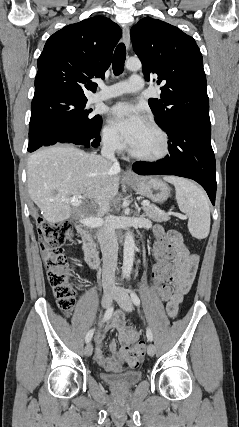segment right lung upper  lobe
Instances as JSON below:
<instances>
[{"label":"right lung upper lobe","instance_id":"right-lung-upper-lobe-1","mask_svg":"<svg viewBox=\"0 0 239 427\" xmlns=\"http://www.w3.org/2000/svg\"><path fill=\"white\" fill-rule=\"evenodd\" d=\"M122 35L109 18L94 16L68 25L47 40L38 58L34 98L63 95L87 99L94 78H104L112 52Z\"/></svg>","mask_w":239,"mask_h":427}]
</instances>
